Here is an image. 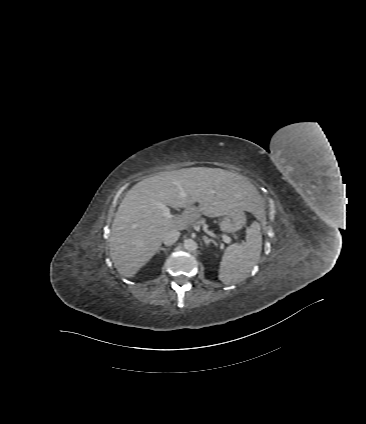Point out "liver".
<instances>
[{
  "instance_id": "obj_1",
  "label": "liver",
  "mask_w": 366,
  "mask_h": 424,
  "mask_svg": "<svg viewBox=\"0 0 366 424\" xmlns=\"http://www.w3.org/2000/svg\"><path fill=\"white\" fill-rule=\"evenodd\" d=\"M159 204L184 211L166 219ZM263 206L254 185L237 173L207 167L161 172L138 182L122 200L111 228V259L121 275L133 277L154 256L167 232L188 229L201 215L214 218L248 211L263 216Z\"/></svg>"
}]
</instances>
